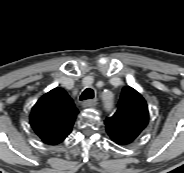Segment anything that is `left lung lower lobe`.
Here are the masks:
<instances>
[{
  "mask_svg": "<svg viewBox=\"0 0 184 173\" xmlns=\"http://www.w3.org/2000/svg\"><path fill=\"white\" fill-rule=\"evenodd\" d=\"M115 143L119 144V145H125L123 144L120 140L116 139V138H111Z\"/></svg>",
  "mask_w": 184,
  "mask_h": 173,
  "instance_id": "left-lung-lower-lobe-1",
  "label": "left lung lower lobe"
}]
</instances>
